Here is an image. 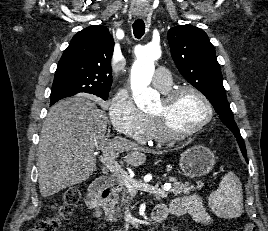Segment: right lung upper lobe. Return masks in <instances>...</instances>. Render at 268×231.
Masks as SVG:
<instances>
[{
  "mask_svg": "<svg viewBox=\"0 0 268 231\" xmlns=\"http://www.w3.org/2000/svg\"><path fill=\"white\" fill-rule=\"evenodd\" d=\"M113 50V37L107 27L94 25L78 32L58 63L52 86L63 88L66 94L51 99L50 105L80 92L94 95L109 93Z\"/></svg>",
  "mask_w": 268,
  "mask_h": 231,
  "instance_id": "right-lung-upper-lobe-1",
  "label": "right lung upper lobe"
}]
</instances>
